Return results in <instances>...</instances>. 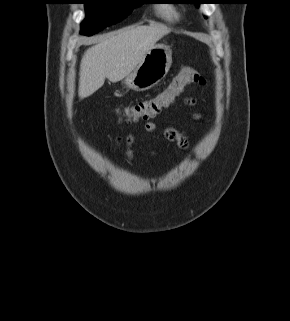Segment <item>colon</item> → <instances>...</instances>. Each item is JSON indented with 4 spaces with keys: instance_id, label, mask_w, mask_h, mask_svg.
Listing matches in <instances>:
<instances>
[{
    "instance_id": "1",
    "label": "colon",
    "mask_w": 290,
    "mask_h": 321,
    "mask_svg": "<svg viewBox=\"0 0 290 321\" xmlns=\"http://www.w3.org/2000/svg\"><path fill=\"white\" fill-rule=\"evenodd\" d=\"M205 78L193 67H185L170 83V85L154 97L118 109L123 119L129 123L156 117L160 112L171 106L176 98L188 85H204Z\"/></svg>"
}]
</instances>
